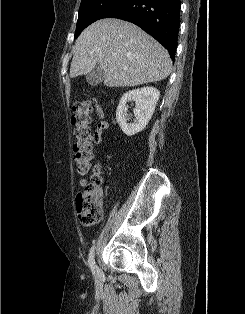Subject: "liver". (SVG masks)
<instances>
[{"instance_id": "1", "label": "liver", "mask_w": 245, "mask_h": 314, "mask_svg": "<svg viewBox=\"0 0 245 314\" xmlns=\"http://www.w3.org/2000/svg\"><path fill=\"white\" fill-rule=\"evenodd\" d=\"M97 64L108 87L161 81L172 71L168 51L138 26L120 19L99 20L81 33L75 43L70 77L87 75Z\"/></svg>"}]
</instances>
